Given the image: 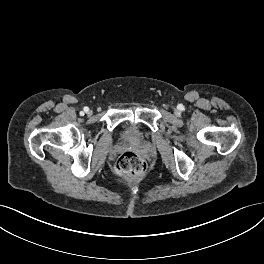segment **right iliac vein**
<instances>
[{
  "mask_svg": "<svg viewBox=\"0 0 264 264\" xmlns=\"http://www.w3.org/2000/svg\"><path fill=\"white\" fill-rule=\"evenodd\" d=\"M88 114H91V112H90V111H88Z\"/></svg>",
  "mask_w": 264,
  "mask_h": 264,
  "instance_id": "63e3f726",
  "label": "right iliac vein"
}]
</instances>
